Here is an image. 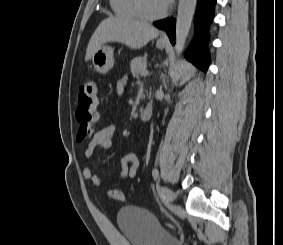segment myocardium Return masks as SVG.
<instances>
[{
  "label": "myocardium",
  "mask_w": 283,
  "mask_h": 245,
  "mask_svg": "<svg viewBox=\"0 0 283 245\" xmlns=\"http://www.w3.org/2000/svg\"><path fill=\"white\" fill-rule=\"evenodd\" d=\"M134 4H135V9H136L139 17L144 19V20H148V21H154V20H158V19L165 17L167 15V13L169 11V7H170V5L168 3L161 12L156 13V14H149L143 8L142 0H134Z\"/></svg>",
  "instance_id": "myocardium-1"
}]
</instances>
